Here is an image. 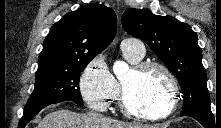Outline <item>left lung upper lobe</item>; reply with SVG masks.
Instances as JSON below:
<instances>
[{
  "label": "left lung upper lobe",
  "mask_w": 221,
  "mask_h": 128,
  "mask_svg": "<svg viewBox=\"0 0 221 128\" xmlns=\"http://www.w3.org/2000/svg\"><path fill=\"white\" fill-rule=\"evenodd\" d=\"M122 26L128 34L145 41L178 79L184 99L181 115L213 114L202 51L188 24L172 16L131 8L122 15Z\"/></svg>",
  "instance_id": "obj_1"
}]
</instances>
